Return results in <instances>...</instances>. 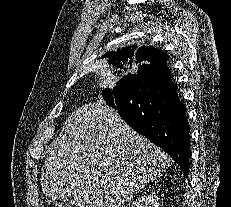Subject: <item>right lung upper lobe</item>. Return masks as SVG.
<instances>
[{
	"instance_id": "obj_1",
	"label": "right lung upper lobe",
	"mask_w": 231,
	"mask_h": 207,
	"mask_svg": "<svg viewBox=\"0 0 231 207\" xmlns=\"http://www.w3.org/2000/svg\"><path fill=\"white\" fill-rule=\"evenodd\" d=\"M104 57H107L108 63L113 65L116 69H127V66L132 63H142L140 67L146 65H158L163 69H168L166 65L168 55L152 46H142L137 49L136 46L133 45L132 47L129 46L118 49L117 51L107 52ZM120 72L121 71H118V74ZM128 75H125L124 77Z\"/></svg>"
}]
</instances>
